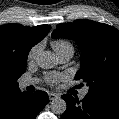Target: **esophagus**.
Listing matches in <instances>:
<instances>
[{"instance_id": "esophagus-1", "label": "esophagus", "mask_w": 119, "mask_h": 119, "mask_svg": "<svg viewBox=\"0 0 119 119\" xmlns=\"http://www.w3.org/2000/svg\"><path fill=\"white\" fill-rule=\"evenodd\" d=\"M57 98H59V94L53 93V92L49 93V99L50 100H55Z\"/></svg>"}]
</instances>
